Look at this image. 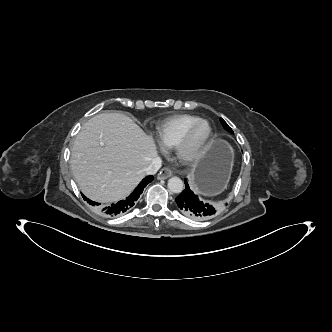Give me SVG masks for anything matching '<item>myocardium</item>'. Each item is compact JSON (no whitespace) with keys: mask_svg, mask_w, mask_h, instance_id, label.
Listing matches in <instances>:
<instances>
[{"mask_svg":"<svg viewBox=\"0 0 332 332\" xmlns=\"http://www.w3.org/2000/svg\"><path fill=\"white\" fill-rule=\"evenodd\" d=\"M207 127V133L205 137L193 148H190V141L195 130L201 126ZM214 136L213 127L208 120L199 119L193 125H191L187 131L180 138L176 146L174 147L177 158L184 164H194L198 162L209 148Z\"/></svg>","mask_w":332,"mask_h":332,"instance_id":"f54148a6","label":"myocardium"}]
</instances>
